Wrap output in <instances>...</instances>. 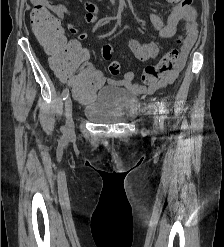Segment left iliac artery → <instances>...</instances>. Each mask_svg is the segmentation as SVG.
I'll list each match as a JSON object with an SVG mask.
<instances>
[{"label": "left iliac artery", "instance_id": "1", "mask_svg": "<svg viewBox=\"0 0 224 247\" xmlns=\"http://www.w3.org/2000/svg\"><path fill=\"white\" fill-rule=\"evenodd\" d=\"M165 113H166L165 103L161 101L159 104V114H160L159 124H160L161 129H163L164 119L166 118Z\"/></svg>", "mask_w": 224, "mask_h": 247}]
</instances>
